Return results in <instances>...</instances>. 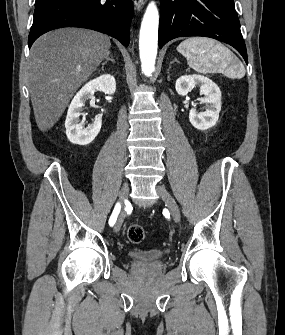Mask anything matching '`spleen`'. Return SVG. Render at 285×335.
I'll list each match as a JSON object with an SVG mask.
<instances>
[{
	"label": "spleen",
	"instance_id": "1",
	"mask_svg": "<svg viewBox=\"0 0 285 335\" xmlns=\"http://www.w3.org/2000/svg\"><path fill=\"white\" fill-rule=\"evenodd\" d=\"M188 62V66L199 72V74H210L215 70L225 68H236L240 78L245 76L243 64L238 62L234 54L222 46L217 40L211 38H188L181 42L177 48Z\"/></svg>",
	"mask_w": 285,
	"mask_h": 335
}]
</instances>
